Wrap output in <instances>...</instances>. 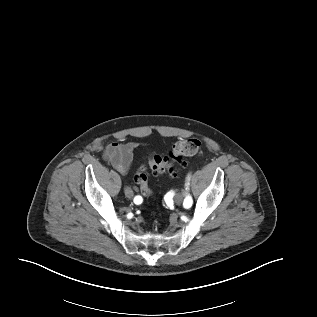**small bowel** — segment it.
<instances>
[{
    "label": "small bowel",
    "mask_w": 317,
    "mask_h": 317,
    "mask_svg": "<svg viewBox=\"0 0 317 317\" xmlns=\"http://www.w3.org/2000/svg\"><path fill=\"white\" fill-rule=\"evenodd\" d=\"M137 145L135 142L111 143L103 150V158L111 163L120 173L126 174L132 164L134 150ZM127 195L129 197L131 195L132 197L134 196L132 189L127 191Z\"/></svg>",
    "instance_id": "small-bowel-1"
}]
</instances>
